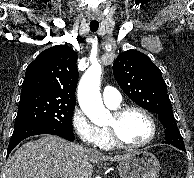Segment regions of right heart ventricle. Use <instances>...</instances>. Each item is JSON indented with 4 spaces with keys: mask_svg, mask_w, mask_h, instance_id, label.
Instances as JSON below:
<instances>
[{
    "mask_svg": "<svg viewBox=\"0 0 194 178\" xmlns=\"http://www.w3.org/2000/svg\"><path fill=\"white\" fill-rule=\"evenodd\" d=\"M112 110H115L119 107L117 106H109ZM100 129V140L98 142V146L102 149H112L116 147L114 142L111 139V136L106 127L99 128Z\"/></svg>",
    "mask_w": 194,
    "mask_h": 178,
    "instance_id": "obj_1",
    "label": "right heart ventricle"
}]
</instances>
